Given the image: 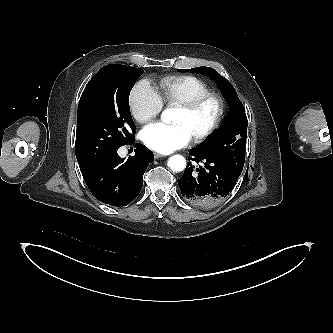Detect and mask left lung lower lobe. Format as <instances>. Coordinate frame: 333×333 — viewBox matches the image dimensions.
<instances>
[{"instance_id":"obj_1","label":"left lung lower lobe","mask_w":333,"mask_h":333,"mask_svg":"<svg viewBox=\"0 0 333 333\" xmlns=\"http://www.w3.org/2000/svg\"><path fill=\"white\" fill-rule=\"evenodd\" d=\"M190 154L193 161L203 165L196 168L192 163L187 164L178 180L182 196L193 205L214 207L231 192L241 173L199 149L191 150Z\"/></svg>"}]
</instances>
